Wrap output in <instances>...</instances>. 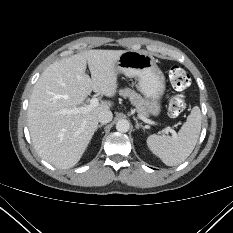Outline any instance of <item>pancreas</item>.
Wrapping results in <instances>:
<instances>
[{
	"mask_svg": "<svg viewBox=\"0 0 233 233\" xmlns=\"http://www.w3.org/2000/svg\"><path fill=\"white\" fill-rule=\"evenodd\" d=\"M119 95L123 96L124 98H129L140 115L144 117H147L149 115L148 100L143 98L140 94L136 93L130 88H123L119 90Z\"/></svg>",
	"mask_w": 233,
	"mask_h": 233,
	"instance_id": "obj_1",
	"label": "pancreas"
}]
</instances>
